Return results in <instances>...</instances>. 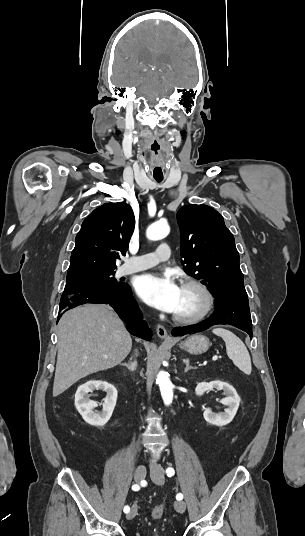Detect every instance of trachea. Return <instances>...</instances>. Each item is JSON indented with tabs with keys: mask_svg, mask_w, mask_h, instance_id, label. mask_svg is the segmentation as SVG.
Returning a JSON list of instances; mask_svg holds the SVG:
<instances>
[{
	"mask_svg": "<svg viewBox=\"0 0 305 536\" xmlns=\"http://www.w3.org/2000/svg\"><path fill=\"white\" fill-rule=\"evenodd\" d=\"M154 179H155L157 182H161V181L163 180V177H162V178L154 177Z\"/></svg>",
	"mask_w": 305,
	"mask_h": 536,
	"instance_id": "3493384b",
	"label": "trachea"
}]
</instances>
